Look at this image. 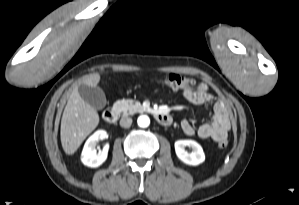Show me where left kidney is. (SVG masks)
<instances>
[{
	"label": "left kidney",
	"instance_id": "1",
	"mask_svg": "<svg viewBox=\"0 0 299 205\" xmlns=\"http://www.w3.org/2000/svg\"><path fill=\"white\" fill-rule=\"evenodd\" d=\"M175 152L177 157L187 165L196 166L204 162L205 155L202 147L194 140H177L175 142ZM188 146L192 149L191 153L185 150Z\"/></svg>",
	"mask_w": 299,
	"mask_h": 205
}]
</instances>
